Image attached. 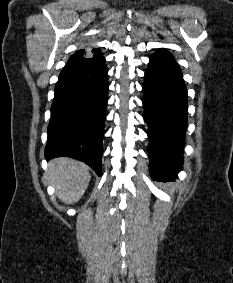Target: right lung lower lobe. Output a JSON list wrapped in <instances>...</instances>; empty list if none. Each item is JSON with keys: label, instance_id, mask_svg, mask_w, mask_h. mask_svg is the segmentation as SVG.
<instances>
[{"label": "right lung lower lobe", "instance_id": "1", "mask_svg": "<svg viewBox=\"0 0 233 283\" xmlns=\"http://www.w3.org/2000/svg\"><path fill=\"white\" fill-rule=\"evenodd\" d=\"M108 69L104 57L70 61L59 75L51 106L47 160L67 156L101 175Z\"/></svg>", "mask_w": 233, "mask_h": 283}]
</instances>
